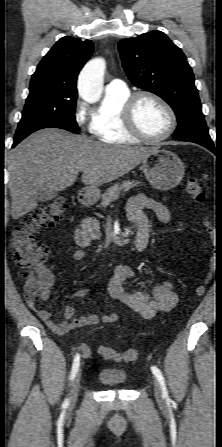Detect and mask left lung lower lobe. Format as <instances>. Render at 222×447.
I'll list each match as a JSON object with an SVG mask.
<instances>
[{"mask_svg": "<svg viewBox=\"0 0 222 447\" xmlns=\"http://www.w3.org/2000/svg\"><path fill=\"white\" fill-rule=\"evenodd\" d=\"M204 147H206L207 149H209L210 151H212L213 153H215V148H214V144H207V143H198Z\"/></svg>", "mask_w": 222, "mask_h": 447, "instance_id": "0a47b994", "label": "left lung lower lobe"}]
</instances>
